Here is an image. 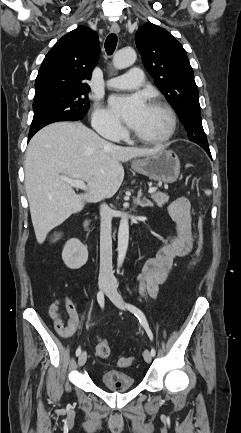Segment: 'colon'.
I'll use <instances>...</instances> for the list:
<instances>
[{"label":"colon","instance_id":"5ec220e1","mask_svg":"<svg viewBox=\"0 0 241 433\" xmlns=\"http://www.w3.org/2000/svg\"><path fill=\"white\" fill-rule=\"evenodd\" d=\"M203 247H204V241H203V221L202 219L199 220L198 222V247L195 253V259L193 264L195 265L197 263V261L199 260V258L202 255L203 252ZM97 355L101 358V359H108L110 354H111V349L109 344L102 340L98 343L97 345V349H96ZM119 365L121 367H127L130 365V359L129 358H121L119 360Z\"/></svg>","mask_w":241,"mask_h":433}]
</instances>
